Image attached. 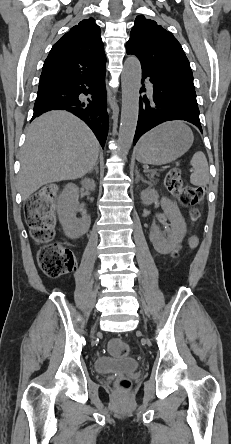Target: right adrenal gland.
I'll use <instances>...</instances> for the list:
<instances>
[{
	"label": "right adrenal gland",
	"mask_w": 231,
	"mask_h": 444,
	"mask_svg": "<svg viewBox=\"0 0 231 444\" xmlns=\"http://www.w3.org/2000/svg\"><path fill=\"white\" fill-rule=\"evenodd\" d=\"M95 170L96 174H98L99 170H98V162L95 164L94 168L90 171V173H92Z\"/></svg>",
	"instance_id": "2a0ac1e0"
}]
</instances>
